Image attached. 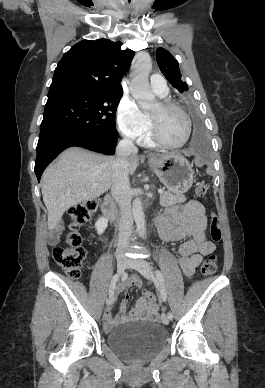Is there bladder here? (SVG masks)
I'll return each mask as SVG.
<instances>
[{"label": "bladder", "instance_id": "31cf9c89", "mask_svg": "<svg viewBox=\"0 0 265 388\" xmlns=\"http://www.w3.org/2000/svg\"><path fill=\"white\" fill-rule=\"evenodd\" d=\"M167 340L164 326L152 321L116 328L107 334L106 344L131 361H146L163 348Z\"/></svg>", "mask_w": 265, "mask_h": 388}]
</instances>
